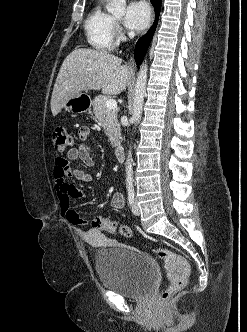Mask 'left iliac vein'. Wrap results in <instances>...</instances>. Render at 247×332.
<instances>
[{"instance_id":"4c4485c4","label":"left iliac vein","mask_w":247,"mask_h":332,"mask_svg":"<svg viewBox=\"0 0 247 332\" xmlns=\"http://www.w3.org/2000/svg\"><path fill=\"white\" fill-rule=\"evenodd\" d=\"M132 212H133L134 215H137V216L140 215V209H139V206H138L136 200H135V202L133 203V206H132Z\"/></svg>"}]
</instances>
